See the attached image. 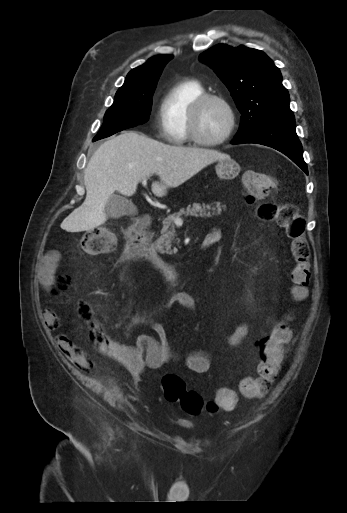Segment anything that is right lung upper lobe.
I'll use <instances>...</instances> for the list:
<instances>
[{"instance_id":"cb5924a9","label":"right lung upper lobe","mask_w":347,"mask_h":513,"mask_svg":"<svg viewBox=\"0 0 347 513\" xmlns=\"http://www.w3.org/2000/svg\"><path fill=\"white\" fill-rule=\"evenodd\" d=\"M172 58V55H157L150 58L145 64L128 73L121 88L135 89L157 82L164 66Z\"/></svg>"}]
</instances>
